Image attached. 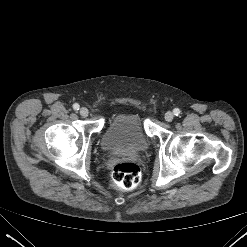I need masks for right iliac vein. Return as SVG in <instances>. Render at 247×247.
I'll list each match as a JSON object with an SVG mask.
<instances>
[{
  "label": "right iliac vein",
  "instance_id": "63e3f726",
  "mask_svg": "<svg viewBox=\"0 0 247 247\" xmlns=\"http://www.w3.org/2000/svg\"><path fill=\"white\" fill-rule=\"evenodd\" d=\"M79 113L83 118H86L89 115V110L85 107H82Z\"/></svg>",
  "mask_w": 247,
  "mask_h": 247
}]
</instances>
